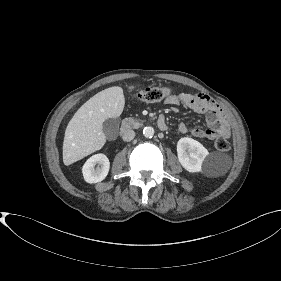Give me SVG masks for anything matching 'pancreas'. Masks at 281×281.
<instances>
[{
    "label": "pancreas",
    "mask_w": 281,
    "mask_h": 281,
    "mask_svg": "<svg viewBox=\"0 0 281 281\" xmlns=\"http://www.w3.org/2000/svg\"><path fill=\"white\" fill-rule=\"evenodd\" d=\"M123 124L126 125L127 127H131V128H138L139 126H141L139 119H136L133 117L125 118L123 120Z\"/></svg>",
    "instance_id": "1"
}]
</instances>
